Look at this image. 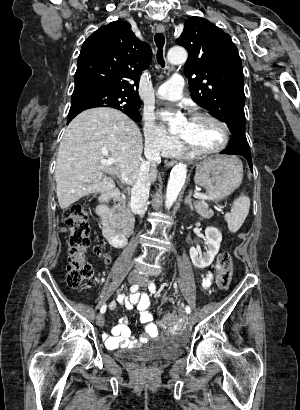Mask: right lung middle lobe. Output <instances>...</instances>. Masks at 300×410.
I'll list each match as a JSON object with an SVG mask.
<instances>
[{
	"label": "right lung middle lobe",
	"instance_id": "right-lung-middle-lobe-1",
	"mask_svg": "<svg viewBox=\"0 0 300 410\" xmlns=\"http://www.w3.org/2000/svg\"><path fill=\"white\" fill-rule=\"evenodd\" d=\"M113 107L132 119H141L138 112L140 103L116 90L91 83L75 84L68 117L76 116L93 107Z\"/></svg>",
	"mask_w": 300,
	"mask_h": 410
}]
</instances>
